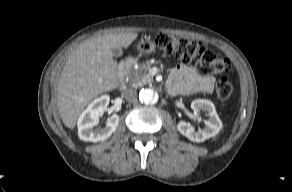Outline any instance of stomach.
<instances>
[{"mask_svg":"<svg viewBox=\"0 0 292 192\" xmlns=\"http://www.w3.org/2000/svg\"><path fill=\"white\" fill-rule=\"evenodd\" d=\"M137 48L141 55L150 54L155 51V44L149 38H145L138 42Z\"/></svg>","mask_w":292,"mask_h":192,"instance_id":"stomach-1","label":"stomach"}]
</instances>
